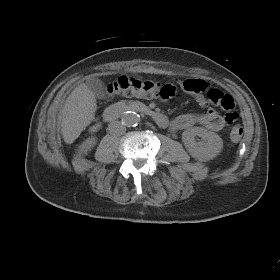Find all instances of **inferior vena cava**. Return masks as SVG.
<instances>
[{
	"label": "inferior vena cava",
	"mask_w": 280,
	"mask_h": 280,
	"mask_svg": "<svg viewBox=\"0 0 280 280\" xmlns=\"http://www.w3.org/2000/svg\"><path fill=\"white\" fill-rule=\"evenodd\" d=\"M108 130L111 134L120 136L126 132V127L119 121H113L110 123Z\"/></svg>",
	"instance_id": "602c4592"
}]
</instances>
